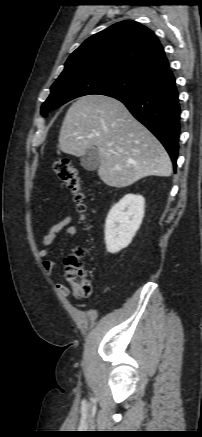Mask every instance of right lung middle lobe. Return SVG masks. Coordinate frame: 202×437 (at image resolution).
Segmentation results:
<instances>
[{
	"label": "right lung middle lobe",
	"mask_w": 202,
	"mask_h": 437,
	"mask_svg": "<svg viewBox=\"0 0 202 437\" xmlns=\"http://www.w3.org/2000/svg\"><path fill=\"white\" fill-rule=\"evenodd\" d=\"M148 82L113 71L78 69L61 74L51 86V93L41 107L46 114L68 101L84 95L116 96L135 93Z\"/></svg>",
	"instance_id": "obj_1"
}]
</instances>
